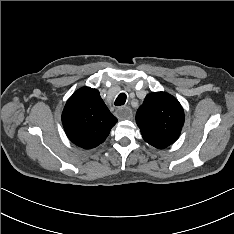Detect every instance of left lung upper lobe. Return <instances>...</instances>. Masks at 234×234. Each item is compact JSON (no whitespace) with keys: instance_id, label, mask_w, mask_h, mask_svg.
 Segmentation results:
<instances>
[{"instance_id":"left-lung-upper-lobe-1","label":"left lung upper lobe","mask_w":234,"mask_h":234,"mask_svg":"<svg viewBox=\"0 0 234 234\" xmlns=\"http://www.w3.org/2000/svg\"><path fill=\"white\" fill-rule=\"evenodd\" d=\"M136 123L144 140L150 145L173 143L181 133L184 111L172 95L166 92H152L138 108Z\"/></svg>"}]
</instances>
